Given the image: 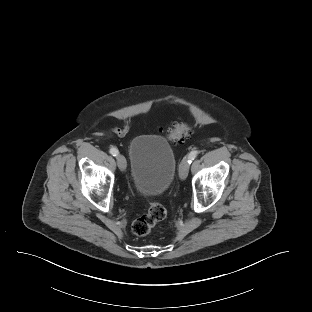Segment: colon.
Returning <instances> with one entry per match:
<instances>
[{"mask_svg":"<svg viewBox=\"0 0 312 312\" xmlns=\"http://www.w3.org/2000/svg\"><path fill=\"white\" fill-rule=\"evenodd\" d=\"M191 126L187 123L174 124L169 128L166 136L172 141H179L187 135ZM166 217V209L156 201H150L148 210L145 214L137 218L132 224V231L137 236L147 235L151 229Z\"/></svg>","mask_w":312,"mask_h":312,"instance_id":"obj_1","label":"colon"}]
</instances>
